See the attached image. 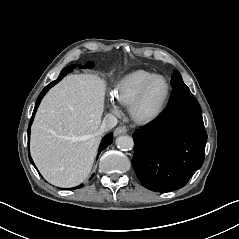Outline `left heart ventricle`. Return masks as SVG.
<instances>
[{"mask_svg":"<svg viewBox=\"0 0 239 239\" xmlns=\"http://www.w3.org/2000/svg\"><path fill=\"white\" fill-rule=\"evenodd\" d=\"M167 94V84L163 79L156 80L149 88L143 99L139 113L143 116H151L161 107Z\"/></svg>","mask_w":239,"mask_h":239,"instance_id":"left-heart-ventricle-1","label":"left heart ventricle"}]
</instances>
